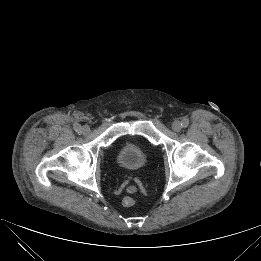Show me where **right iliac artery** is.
I'll list each match as a JSON object with an SVG mask.
<instances>
[{"mask_svg": "<svg viewBox=\"0 0 261 261\" xmlns=\"http://www.w3.org/2000/svg\"><path fill=\"white\" fill-rule=\"evenodd\" d=\"M74 130H75L76 132H81V126H80L79 124L75 125V126H74Z\"/></svg>", "mask_w": 261, "mask_h": 261, "instance_id": "obj_1", "label": "right iliac artery"}]
</instances>
